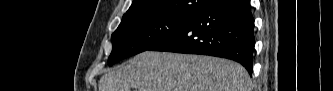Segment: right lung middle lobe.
<instances>
[{
  "instance_id": "dd1d6c3e",
  "label": "right lung middle lobe",
  "mask_w": 333,
  "mask_h": 91,
  "mask_svg": "<svg viewBox=\"0 0 333 91\" xmlns=\"http://www.w3.org/2000/svg\"><path fill=\"white\" fill-rule=\"evenodd\" d=\"M215 0H204L201 7L210 6ZM194 16L152 15L120 23L112 34L113 50L109 66L140 52L151 49L185 26Z\"/></svg>"
}]
</instances>
